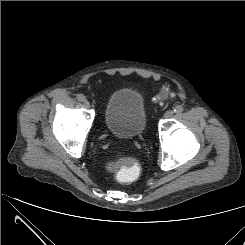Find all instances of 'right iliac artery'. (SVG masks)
<instances>
[{"instance_id": "right-iliac-artery-1", "label": "right iliac artery", "mask_w": 245, "mask_h": 245, "mask_svg": "<svg viewBox=\"0 0 245 245\" xmlns=\"http://www.w3.org/2000/svg\"><path fill=\"white\" fill-rule=\"evenodd\" d=\"M77 100L83 102V101H85V96L83 94H78L77 95Z\"/></svg>"}]
</instances>
